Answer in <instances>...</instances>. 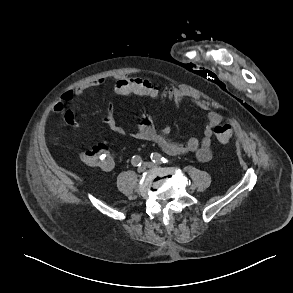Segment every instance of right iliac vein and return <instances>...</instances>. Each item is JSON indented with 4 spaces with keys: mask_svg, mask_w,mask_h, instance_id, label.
<instances>
[{
    "mask_svg": "<svg viewBox=\"0 0 293 293\" xmlns=\"http://www.w3.org/2000/svg\"><path fill=\"white\" fill-rule=\"evenodd\" d=\"M145 171V166L143 165V166H140L139 168H138V172L139 173H142V172H144Z\"/></svg>",
    "mask_w": 293,
    "mask_h": 293,
    "instance_id": "1",
    "label": "right iliac vein"
}]
</instances>
